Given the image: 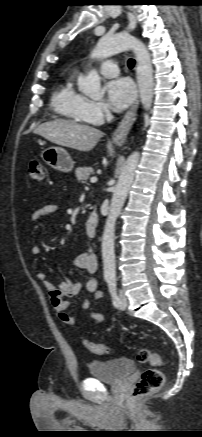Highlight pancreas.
I'll return each instance as SVG.
<instances>
[{
  "mask_svg": "<svg viewBox=\"0 0 202 437\" xmlns=\"http://www.w3.org/2000/svg\"><path fill=\"white\" fill-rule=\"evenodd\" d=\"M94 174V170L91 167H79L75 170V175L78 182H85L88 180L89 176Z\"/></svg>",
  "mask_w": 202,
  "mask_h": 437,
  "instance_id": "pancreas-1",
  "label": "pancreas"
}]
</instances>
